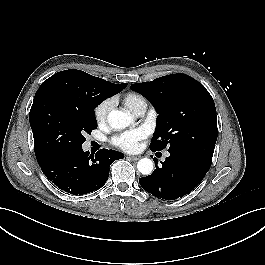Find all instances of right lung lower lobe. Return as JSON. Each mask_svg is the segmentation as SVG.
I'll list each match as a JSON object with an SVG mask.
<instances>
[{"label":"right lung lower lobe","instance_id":"right-lung-lower-lobe-1","mask_svg":"<svg viewBox=\"0 0 265 265\" xmlns=\"http://www.w3.org/2000/svg\"><path fill=\"white\" fill-rule=\"evenodd\" d=\"M82 147L50 153L37 158L48 180L70 194H87L100 189L107 181L113 161L124 158L120 152L99 150L95 156Z\"/></svg>","mask_w":265,"mask_h":265}]
</instances>
